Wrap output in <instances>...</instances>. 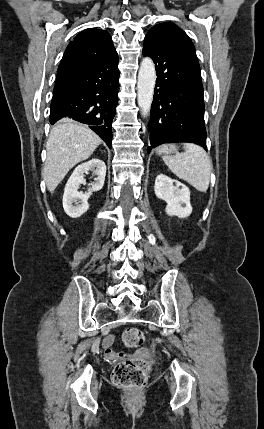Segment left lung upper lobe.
Returning a JSON list of instances; mask_svg holds the SVG:
<instances>
[{
    "instance_id": "5c2ea615",
    "label": "left lung upper lobe",
    "mask_w": 264,
    "mask_h": 429,
    "mask_svg": "<svg viewBox=\"0 0 264 429\" xmlns=\"http://www.w3.org/2000/svg\"><path fill=\"white\" fill-rule=\"evenodd\" d=\"M150 31L167 33L176 37L178 40L186 44L187 47L193 52V54L196 57L195 47L191 42L190 38L186 35V33L182 29H180L174 23H171V22L160 23L158 25H155L152 29H150Z\"/></svg>"
}]
</instances>
